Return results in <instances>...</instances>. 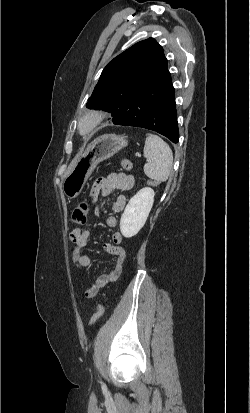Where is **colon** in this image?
<instances>
[{"mask_svg":"<svg viewBox=\"0 0 250 413\" xmlns=\"http://www.w3.org/2000/svg\"><path fill=\"white\" fill-rule=\"evenodd\" d=\"M122 168L129 171L133 168V163L130 159L121 160ZM148 187H158L162 185V180L158 178H148L146 181ZM90 205L88 202H82L77 205L72 212V222L76 225H82L86 223L89 214ZM104 313V308L101 304L96 306V310L90 318L89 326L93 325L99 320Z\"/></svg>","mask_w":250,"mask_h":413,"instance_id":"colon-1","label":"colon"}]
</instances>
